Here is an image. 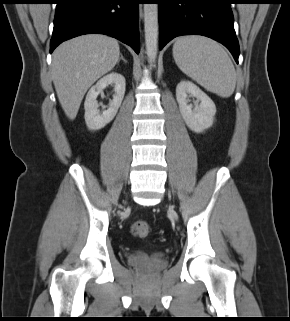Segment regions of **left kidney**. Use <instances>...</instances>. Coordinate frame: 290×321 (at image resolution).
Instances as JSON below:
<instances>
[{"label": "left kidney", "instance_id": "5707ae66", "mask_svg": "<svg viewBox=\"0 0 290 321\" xmlns=\"http://www.w3.org/2000/svg\"><path fill=\"white\" fill-rule=\"evenodd\" d=\"M188 95L196 98L194 106L188 104ZM176 99L180 113L190 130L200 133L213 125L216 113L215 104L194 83L181 81L176 87Z\"/></svg>", "mask_w": 290, "mask_h": 321}]
</instances>
